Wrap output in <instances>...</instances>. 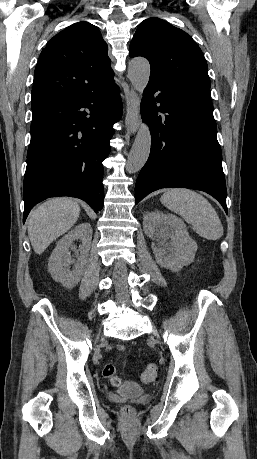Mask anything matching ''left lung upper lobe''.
<instances>
[{"mask_svg":"<svg viewBox=\"0 0 257 459\" xmlns=\"http://www.w3.org/2000/svg\"><path fill=\"white\" fill-rule=\"evenodd\" d=\"M136 56L149 60V81L163 85H211L207 62L196 42L160 18L152 17L139 24L130 44V57Z\"/></svg>","mask_w":257,"mask_h":459,"instance_id":"5c2ea615","label":"left lung upper lobe"}]
</instances>
